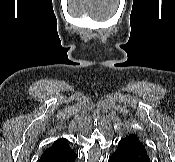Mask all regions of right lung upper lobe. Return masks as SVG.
<instances>
[{"instance_id": "right-lung-upper-lobe-1", "label": "right lung upper lobe", "mask_w": 175, "mask_h": 162, "mask_svg": "<svg viewBox=\"0 0 175 162\" xmlns=\"http://www.w3.org/2000/svg\"><path fill=\"white\" fill-rule=\"evenodd\" d=\"M65 147H70L68 140L66 139H59L53 143L51 147H49L46 151L49 150H55V149H60V148H65Z\"/></svg>"}]
</instances>
